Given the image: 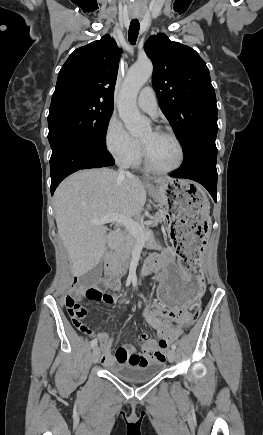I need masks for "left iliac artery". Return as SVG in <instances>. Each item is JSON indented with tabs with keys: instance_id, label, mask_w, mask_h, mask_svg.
<instances>
[{
	"instance_id": "obj_1",
	"label": "left iliac artery",
	"mask_w": 263,
	"mask_h": 435,
	"mask_svg": "<svg viewBox=\"0 0 263 435\" xmlns=\"http://www.w3.org/2000/svg\"><path fill=\"white\" fill-rule=\"evenodd\" d=\"M171 348H172L173 350H176V345H175V344H172Z\"/></svg>"
}]
</instances>
